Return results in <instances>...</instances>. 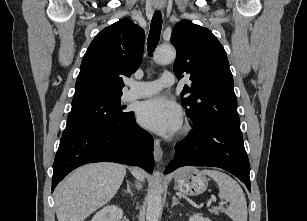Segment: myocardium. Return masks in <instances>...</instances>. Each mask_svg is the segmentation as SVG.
Returning <instances> with one entry per match:
<instances>
[{"instance_id": "1", "label": "myocardium", "mask_w": 307, "mask_h": 221, "mask_svg": "<svg viewBox=\"0 0 307 221\" xmlns=\"http://www.w3.org/2000/svg\"><path fill=\"white\" fill-rule=\"evenodd\" d=\"M188 130H189V126L187 125L184 127V131H188Z\"/></svg>"}]
</instances>
